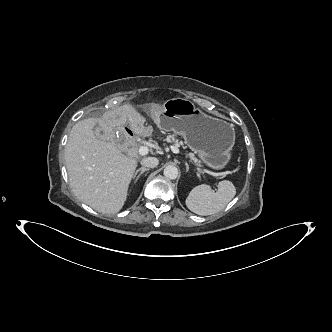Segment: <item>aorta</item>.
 <instances>
[{
    "label": "aorta",
    "instance_id": "1",
    "mask_svg": "<svg viewBox=\"0 0 332 332\" xmlns=\"http://www.w3.org/2000/svg\"><path fill=\"white\" fill-rule=\"evenodd\" d=\"M163 174L167 179L174 180L178 177V169L173 165H168L165 167Z\"/></svg>",
    "mask_w": 332,
    "mask_h": 332
}]
</instances>
